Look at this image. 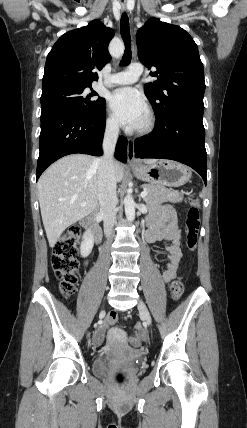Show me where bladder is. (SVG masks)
Here are the masks:
<instances>
[{
    "label": "bladder",
    "instance_id": "bladder-1",
    "mask_svg": "<svg viewBox=\"0 0 247 428\" xmlns=\"http://www.w3.org/2000/svg\"><path fill=\"white\" fill-rule=\"evenodd\" d=\"M111 358L108 355H99L93 362V371L98 376H104L110 366Z\"/></svg>",
    "mask_w": 247,
    "mask_h": 428
}]
</instances>
